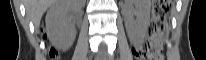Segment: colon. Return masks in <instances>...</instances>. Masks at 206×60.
Returning <instances> with one entry per match:
<instances>
[{
	"mask_svg": "<svg viewBox=\"0 0 206 60\" xmlns=\"http://www.w3.org/2000/svg\"><path fill=\"white\" fill-rule=\"evenodd\" d=\"M171 0H155L152 8L153 19L149 28V41L145 51L138 53L139 59L162 60V40L168 32L169 12ZM50 56H55V51L50 50Z\"/></svg>",
	"mask_w": 206,
	"mask_h": 60,
	"instance_id": "5ec220e1",
	"label": "colon"
}]
</instances>
